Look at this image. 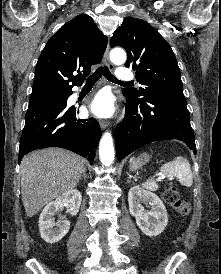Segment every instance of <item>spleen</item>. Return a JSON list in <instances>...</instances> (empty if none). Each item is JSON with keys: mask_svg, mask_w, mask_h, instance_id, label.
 I'll use <instances>...</instances> for the list:
<instances>
[{"mask_svg": "<svg viewBox=\"0 0 221 274\" xmlns=\"http://www.w3.org/2000/svg\"><path fill=\"white\" fill-rule=\"evenodd\" d=\"M133 159L134 158H131L130 162H132ZM160 171L168 178H178L180 184L183 186L190 187L193 183V175L190 164L188 160L181 156H178L172 162H167L162 165ZM142 186L150 191H156L158 189V184L154 180L142 183Z\"/></svg>", "mask_w": 221, "mask_h": 274, "instance_id": "spleen-1", "label": "spleen"}]
</instances>
